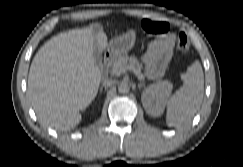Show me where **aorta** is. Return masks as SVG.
<instances>
[{
  "label": "aorta",
  "instance_id": "obj_1",
  "mask_svg": "<svg viewBox=\"0 0 243 167\" xmlns=\"http://www.w3.org/2000/svg\"><path fill=\"white\" fill-rule=\"evenodd\" d=\"M118 91L119 93H122V94H126L129 92V86L125 83H122L119 87H118Z\"/></svg>",
  "mask_w": 243,
  "mask_h": 167
}]
</instances>
